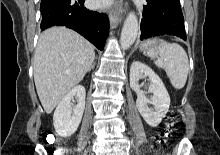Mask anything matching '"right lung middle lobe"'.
Returning a JSON list of instances; mask_svg holds the SVG:
<instances>
[{
	"instance_id": "right-lung-middle-lobe-1",
	"label": "right lung middle lobe",
	"mask_w": 220,
	"mask_h": 155,
	"mask_svg": "<svg viewBox=\"0 0 220 155\" xmlns=\"http://www.w3.org/2000/svg\"><path fill=\"white\" fill-rule=\"evenodd\" d=\"M48 1H50V0H41V4L46 3Z\"/></svg>"
}]
</instances>
